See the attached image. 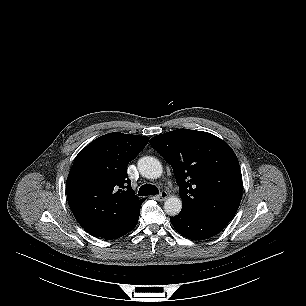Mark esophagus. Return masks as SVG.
Segmentation results:
<instances>
[{
	"label": "esophagus",
	"instance_id": "34e87169",
	"mask_svg": "<svg viewBox=\"0 0 306 306\" xmlns=\"http://www.w3.org/2000/svg\"><path fill=\"white\" fill-rule=\"evenodd\" d=\"M167 198H168V193L166 191H161V193L158 196H156V199L158 201H164Z\"/></svg>",
	"mask_w": 306,
	"mask_h": 306
}]
</instances>
